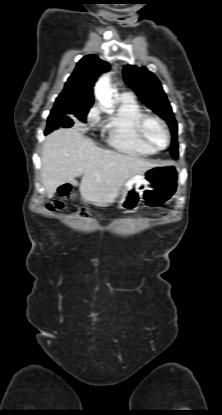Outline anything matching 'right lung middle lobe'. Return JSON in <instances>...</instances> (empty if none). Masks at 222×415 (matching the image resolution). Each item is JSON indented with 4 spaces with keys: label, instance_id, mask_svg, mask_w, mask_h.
Returning a JSON list of instances; mask_svg holds the SVG:
<instances>
[{
    "label": "right lung middle lobe",
    "instance_id": "obj_1",
    "mask_svg": "<svg viewBox=\"0 0 222 415\" xmlns=\"http://www.w3.org/2000/svg\"><path fill=\"white\" fill-rule=\"evenodd\" d=\"M92 105L63 106L52 109L47 123V133L59 127H71L75 118L86 123V115Z\"/></svg>",
    "mask_w": 222,
    "mask_h": 415
}]
</instances>
